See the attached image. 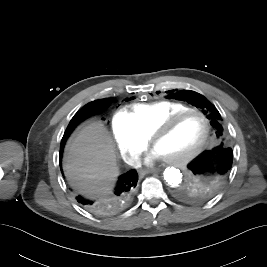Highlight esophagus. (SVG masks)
Here are the masks:
<instances>
[{
    "mask_svg": "<svg viewBox=\"0 0 267 267\" xmlns=\"http://www.w3.org/2000/svg\"><path fill=\"white\" fill-rule=\"evenodd\" d=\"M154 171H155V169L141 170V171L139 172V174H140L141 176H144L145 174H147V173H151V172H154Z\"/></svg>",
    "mask_w": 267,
    "mask_h": 267,
    "instance_id": "1",
    "label": "esophagus"
}]
</instances>
